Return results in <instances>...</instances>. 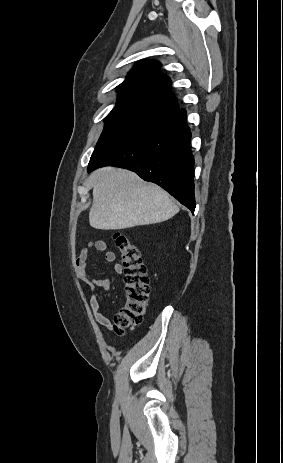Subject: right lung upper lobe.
<instances>
[{"mask_svg":"<svg viewBox=\"0 0 283 463\" xmlns=\"http://www.w3.org/2000/svg\"><path fill=\"white\" fill-rule=\"evenodd\" d=\"M160 63L142 60L136 63L127 78L116 89L119 97L159 110L163 115L176 108V98L170 92L171 81L159 73Z\"/></svg>","mask_w":283,"mask_h":463,"instance_id":"obj_1","label":"right lung upper lobe"}]
</instances>
